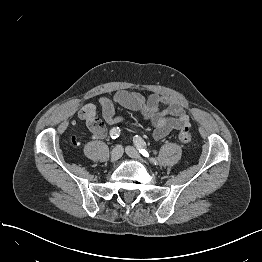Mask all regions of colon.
I'll return each mask as SVG.
<instances>
[{"label": "colon", "mask_w": 262, "mask_h": 262, "mask_svg": "<svg viewBox=\"0 0 262 262\" xmlns=\"http://www.w3.org/2000/svg\"><path fill=\"white\" fill-rule=\"evenodd\" d=\"M192 133L189 127H183L178 133V140L181 143L187 144L191 141Z\"/></svg>", "instance_id": "colon-1"}]
</instances>
